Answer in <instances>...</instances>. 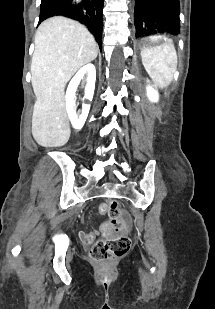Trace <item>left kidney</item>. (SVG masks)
I'll return each instance as SVG.
<instances>
[{
    "mask_svg": "<svg viewBox=\"0 0 215 309\" xmlns=\"http://www.w3.org/2000/svg\"><path fill=\"white\" fill-rule=\"evenodd\" d=\"M146 88H147V96H148L149 100H151V102H158L159 94H158L157 90H155V88H153V86H146Z\"/></svg>",
    "mask_w": 215,
    "mask_h": 309,
    "instance_id": "obj_1",
    "label": "left kidney"
}]
</instances>
